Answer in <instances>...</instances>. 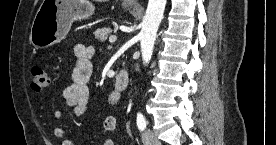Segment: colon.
<instances>
[{
  "label": "colon",
  "mask_w": 276,
  "mask_h": 145,
  "mask_svg": "<svg viewBox=\"0 0 276 145\" xmlns=\"http://www.w3.org/2000/svg\"><path fill=\"white\" fill-rule=\"evenodd\" d=\"M31 86L34 91L40 92L50 85V79L46 71L40 66H33L30 70Z\"/></svg>",
  "instance_id": "5ec220e1"
}]
</instances>
